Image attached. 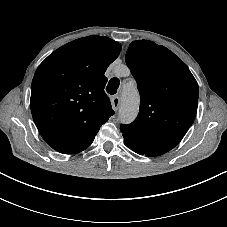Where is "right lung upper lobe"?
Masks as SVG:
<instances>
[{"mask_svg":"<svg viewBox=\"0 0 227 227\" xmlns=\"http://www.w3.org/2000/svg\"><path fill=\"white\" fill-rule=\"evenodd\" d=\"M120 51L118 42L93 35L58 48L37 68L31 112L39 133L56 151H83L114 114L104 73Z\"/></svg>","mask_w":227,"mask_h":227,"instance_id":"obj_1","label":"right lung upper lobe"}]
</instances>
